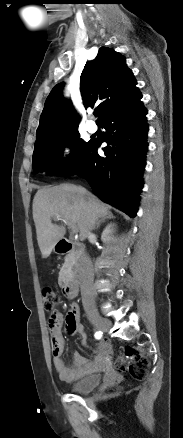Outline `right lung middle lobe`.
<instances>
[{
  "instance_id": "1",
  "label": "right lung middle lobe",
  "mask_w": 183,
  "mask_h": 438,
  "mask_svg": "<svg viewBox=\"0 0 183 438\" xmlns=\"http://www.w3.org/2000/svg\"><path fill=\"white\" fill-rule=\"evenodd\" d=\"M79 136L77 129H73L36 139L33 152L34 171H50L55 175L67 168L90 142H85ZM66 144L72 147V153L65 160L62 159V153Z\"/></svg>"
}]
</instances>
